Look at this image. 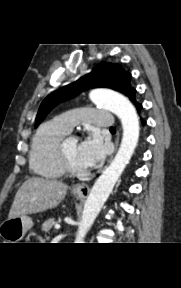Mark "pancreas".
<instances>
[{"label":"pancreas","mask_w":181,"mask_h":288,"mask_svg":"<svg viewBox=\"0 0 181 288\" xmlns=\"http://www.w3.org/2000/svg\"><path fill=\"white\" fill-rule=\"evenodd\" d=\"M57 222L54 218H50L47 221H45L41 227V230L45 233H48L53 225H55Z\"/></svg>","instance_id":"obj_1"}]
</instances>
